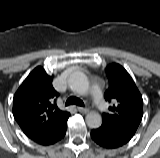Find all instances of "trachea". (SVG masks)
<instances>
[{
    "mask_svg": "<svg viewBox=\"0 0 160 158\" xmlns=\"http://www.w3.org/2000/svg\"><path fill=\"white\" fill-rule=\"evenodd\" d=\"M78 105V106H84L83 102L79 99V98H76L74 96H71L67 99L66 101V105Z\"/></svg>",
    "mask_w": 160,
    "mask_h": 158,
    "instance_id": "obj_1",
    "label": "trachea"
}]
</instances>
